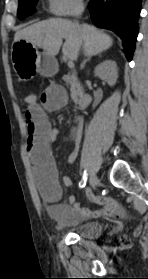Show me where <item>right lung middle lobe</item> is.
<instances>
[{
  "label": "right lung middle lobe",
  "instance_id": "1",
  "mask_svg": "<svg viewBox=\"0 0 148 279\" xmlns=\"http://www.w3.org/2000/svg\"><path fill=\"white\" fill-rule=\"evenodd\" d=\"M38 0H19L17 16L24 19L34 12V7Z\"/></svg>",
  "mask_w": 148,
  "mask_h": 279
}]
</instances>
